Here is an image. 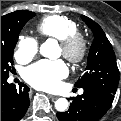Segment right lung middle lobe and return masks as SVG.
Returning <instances> with one entry per match:
<instances>
[{
	"label": "right lung middle lobe",
	"mask_w": 121,
	"mask_h": 121,
	"mask_svg": "<svg viewBox=\"0 0 121 121\" xmlns=\"http://www.w3.org/2000/svg\"><path fill=\"white\" fill-rule=\"evenodd\" d=\"M35 16L34 12L26 14L1 26V78L9 77L13 65V52L19 33L26 22Z\"/></svg>",
	"instance_id": "right-lung-middle-lobe-1"
}]
</instances>
